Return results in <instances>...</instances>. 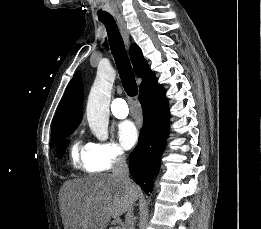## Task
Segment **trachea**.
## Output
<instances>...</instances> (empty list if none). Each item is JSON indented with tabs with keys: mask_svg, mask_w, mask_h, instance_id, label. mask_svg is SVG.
<instances>
[{
	"mask_svg": "<svg viewBox=\"0 0 261 229\" xmlns=\"http://www.w3.org/2000/svg\"><path fill=\"white\" fill-rule=\"evenodd\" d=\"M98 20L106 27L110 50L117 65L122 86L130 97H134L138 94V86L116 22L112 16L99 17Z\"/></svg>",
	"mask_w": 261,
	"mask_h": 229,
	"instance_id": "trachea-1",
	"label": "trachea"
}]
</instances>
